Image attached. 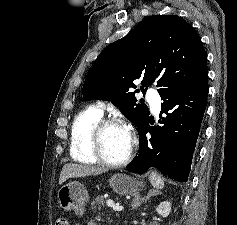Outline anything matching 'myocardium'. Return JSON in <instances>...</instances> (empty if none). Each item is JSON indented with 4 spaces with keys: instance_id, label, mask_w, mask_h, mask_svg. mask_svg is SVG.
Here are the masks:
<instances>
[{
    "instance_id": "myocardium-1",
    "label": "myocardium",
    "mask_w": 237,
    "mask_h": 225,
    "mask_svg": "<svg viewBox=\"0 0 237 225\" xmlns=\"http://www.w3.org/2000/svg\"><path fill=\"white\" fill-rule=\"evenodd\" d=\"M111 126H117V127H122L125 130H127L128 134L130 135L131 139V145L130 149L125 156L124 159L121 161H111L109 160L104 152H103V147H102V136L104 131ZM90 139H91V149L98 160V162L102 163L105 166L111 167V168H119L127 165L131 159L133 158V155L135 153L136 145H137V140L136 136L133 133L132 129L124 122L114 119V118H101L92 128L91 133H90Z\"/></svg>"
}]
</instances>
